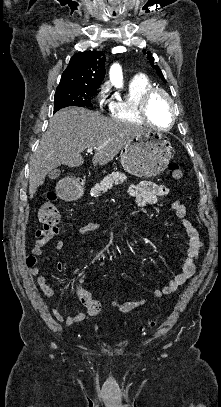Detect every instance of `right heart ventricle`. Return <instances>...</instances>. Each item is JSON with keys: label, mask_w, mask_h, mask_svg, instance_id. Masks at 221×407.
Here are the masks:
<instances>
[{"label": "right heart ventricle", "mask_w": 221, "mask_h": 407, "mask_svg": "<svg viewBox=\"0 0 221 407\" xmlns=\"http://www.w3.org/2000/svg\"><path fill=\"white\" fill-rule=\"evenodd\" d=\"M151 88L154 86L146 76L133 77L128 83L126 94L109 103L110 116L121 121L144 123L139 115L138 107L143 95Z\"/></svg>", "instance_id": "obj_1"}]
</instances>
